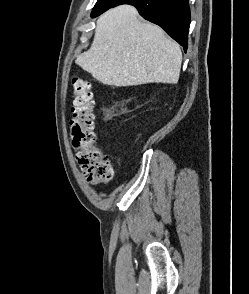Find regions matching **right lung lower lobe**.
I'll return each mask as SVG.
<instances>
[{"label":"right lung lower lobe","instance_id":"obj_1","mask_svg":"<svg viewBox=\"0 0 249 294\" xmlns=\"http://www.w3.org/2000/svg\"><path fill=\"white\" fill-rule=\"evenodd\" d=\"M121 4L135 6L145 19L161 26L184 50H187L190 26L188 0H120L112 6L92 15L96 17L111 7Z\"/></svg>","mask_w":249,"mask_h":294}]
</instances>
